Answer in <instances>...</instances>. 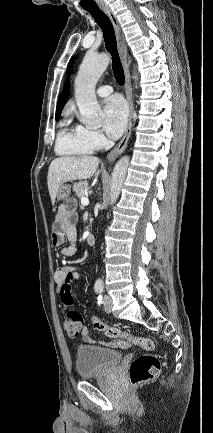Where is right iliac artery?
<instances>
[{"instance_id":"82829eb1","label":"right iliac artery","mask_w":213,"mask_h":433,"mask_svg":"<svg viewBox=\"0 0 213 433\" xmlns=\"http://www.w3.org/2000/svg\"><path fill=\"white\" fill-rule=\"evenodd\" d=\"M101 291H102V288H101V287H96V288H95V292H96V293H100Z\"/></svg>"}]
</instances>
